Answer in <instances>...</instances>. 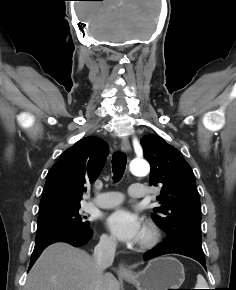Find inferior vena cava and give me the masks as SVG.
Returning a JSON list of instances; mask_svg holds the SVG:
<instances>
[{"instance_id": "inferior-vena-cava-1", "label": "inferior vena cava", "mask_w": 236, "mask_h": 290, "mask_svg": "<svg viewBox=\"0 0 236 290\" xmlns=\"http://www.w3.org/2000/svg\"><path fill=\"white\" fill-rule=\"evenodd\" d=\"M117 240L115 237L102 236L99 243L94 248L93 259L102 273L114 261Z\"/></svg>"}]
</instances>
